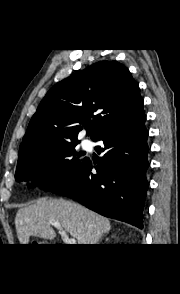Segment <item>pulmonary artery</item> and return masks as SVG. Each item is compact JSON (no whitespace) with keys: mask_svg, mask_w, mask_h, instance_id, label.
Returning a JSON list of instances; mask_svg holds the SVG:
<instances>
[{"mask_svg":"<svg viewBox=\"0 0 180 294\" xmlns=\"http://www.w3.org/2000/svg\"><path fill=\"white\" fill-rule=\"evenodd\" d=\"M87 143H88L87 141L84 142L85 145H86Z\"/></svg>","mask_w":180,"mask_h":294,"instance_id":"obj_1","label":"pulmonary artery"}]
</instances>
